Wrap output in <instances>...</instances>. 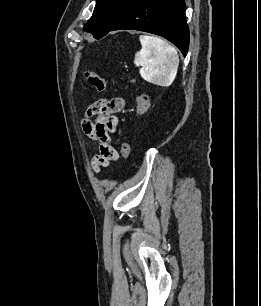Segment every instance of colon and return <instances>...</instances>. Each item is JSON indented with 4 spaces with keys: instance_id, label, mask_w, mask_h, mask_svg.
<instances>
[{
    "instance_id": "5ec220e1",
    "label": "colon",
    "mask_w": 261,
    "mask_h": 306,
    "mask_svg": "<svg viewBox=\"0 0 261 306\" xmlns=\"http://www.w3.org/2000/svg\"><path fill=\"white\" fill-rule=\"evenodd\" d=\"M86 79L88 83L97 91L101 92L106 87L104 77L95 71H89L86 73ZM150 106V98L147 94L141 93L136 97L135 114L140 116L144 114ZM120 152L124 158H129L131 155V148L127 143H121Z\"/></svg>"
}]
</instances>
